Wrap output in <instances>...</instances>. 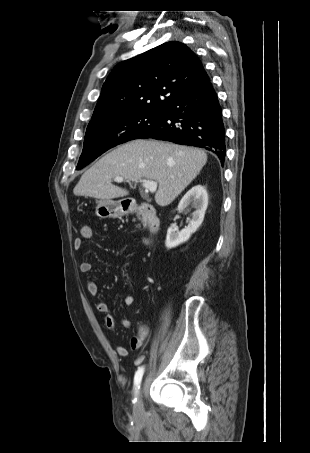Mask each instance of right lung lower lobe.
Here are the masks:
<instances>
[{"instance_id":"1","label":"right lung lower lobe","mask_w":310,"mask_h":453,"mask_svg":"<svg viewBox=\"0 0 310 453\" xmlns=\"http://www.w3.org/2000/svg\"><path fill=\"white\" fill-rule=\"evenodd\" d=\"M139 138L202 147L215 153L223 165L226 145L222 109L207 73L167 104L161 121Z\"/></svg>"}]
</instances>
